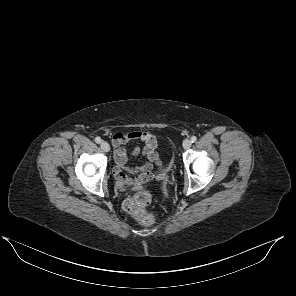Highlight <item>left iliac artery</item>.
<instances>
[{
	"label": "left iliac artery",
	"mask_w": 296,
	"mask_h": 296,
	"mask_svg": "<svg viewBox=\"0 0 296 296\" xmlns=\"http://www.w3.org/2000/svg\"><path fill=\"white\" fill-rule=\"evenodd\" d=\"M196 140H197V137H196V136H192V137H191V141H192V143L195 142Z\"/></svg>",
	"instance_id": "44dca946"
}]
</instances>
